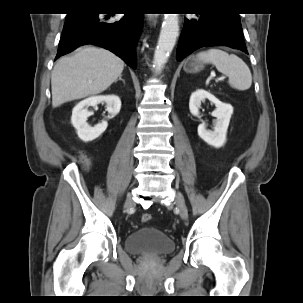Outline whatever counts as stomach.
<instances>
[{"instance_id": "0dacf381", "label": "stomach", "mask_w": 303, "mask_h": 303, "mask_svg": "<svg viewBox=\"0 0 303 303\" xmlns=\"http://www.w3.org/2000/svg\"><path fill=\"white\" fill-rule=\"evenodd\" d=\"M205 67V61L198 59L195 56L189 57L184 62V71L187 73H197Z\"/></svg>"}]
</instances>
